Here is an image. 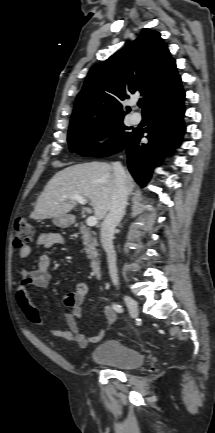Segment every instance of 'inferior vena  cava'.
<instances>
[{
    "instance_id": "1",
    "label": "inferior vena cava",
    "mask_w": 215,
    "mask_h": 433,
    "mask_svg": "<svg viewBox=\"0 0 215 433\" xmlns=\"http://www.w3.org/2000/svg\"><path fill=\"white\" fill-rule=\"evenodd\" d=\"M113 170L116 177V185L113 191L111 205L108 214L105 216L100 228V240L102 247L107 254V262L112 282L119 285L118 271L116 265V254L112 242L114 230L122 220L127 205V187L125 183V170L120 162L113 163Z\"/></svg>"
}]
</instances>
